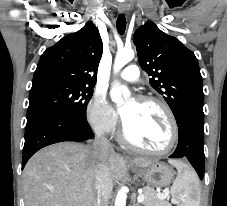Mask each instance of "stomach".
Returning <instances> with one entry per match:
<instances>
[{
    "label": "stomach",
    "instance_id": "obj_1",
    "mask_svg": "<svg viewBox=\"0 0 227 206\" xmlns=\"http://www.w3.org/2000/svg\"><path fill=\"white\" fill-rule=\"evenodd\" d=\"M129 166L152 187L169 186L175 175V171L170 166L159 161H154L147 167H140L135 162Z\"/></svg>",
    "mask_w": 227,
    "mask_h": 206
}]
</instances>
